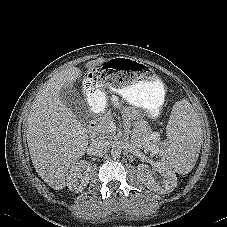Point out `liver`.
Listing matches in <instances>:
<instances>
[{
  "mask_svg": "<svg viewBox=\"0 0 227 227\" xmlns=\"http://www.w3.org/2000/svg\"><path fill=\"white\" fill-rule=\"evenodd\" d=\"M104 59L87 63L92 71ZM81 70L70 67L50 78L34 99L27 118V143L33 166L51 188L63 190L71 166L85 154L87 129L60 98V91L72 85Z\"/></svg>",
  "mask_w": 227,
  "mask_h": 227,
  "instance_id": "obj_1",
  "label": "liver"
}]
</instances>
